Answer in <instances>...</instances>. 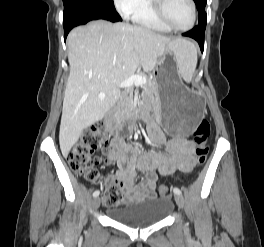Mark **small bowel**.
<instances>
[{
  "mask_svg": "<svg viewBox=\"0 0 264 247\" xmlns=\"http://www.w3.org/2000/svg\"><path fill=\"white\" fill-rule=\"evenodd\" d=\"M149 139L160 151L143 152L134 145H127L122 136H116L108 152L109 161L118 171L109 181L118 183L125 202L155 197L157 173L167 176L175 171L191 172L196 164L194 145L180 135L167 136L156 121L147 125ZM145 173L141 184H135L137 173Z\"/></svg>",
  "mask_w": 264,
  "mask_h": 247,
  "instance_id": "small-bowel-1",
  "label": "small bowel"
}]
</instances>
